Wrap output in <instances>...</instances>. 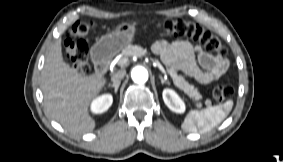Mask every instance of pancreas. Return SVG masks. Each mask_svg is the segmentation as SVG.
I'll return each mask as SVG.
<instances>
[{"label": "pancreas", "instance_id": "cf45deb5", "mask_svg": "<svg viewBox=\"0 0 283 162\" xmlns=\"http://www.w3.org/2000/svg\"><path fill=\"white\" fill-rule=\"evenodd\" d=\"M123 53L125 54L124 59L125 57L131 55L142 57L148 54L146 49H143L138 45L127 46L123 50ZM167 72L172 78L175 86L182 90L185 94H187L190 99L196 102L197 106L201 107V103H199L198 101L202 99V95L199 93L198 89L193 85L189 84L187 81H185L184 77L179 75L174 68L167 67Z\"/></svg>", "mask_w": 283, "mask_h": 162}]
</instances>
